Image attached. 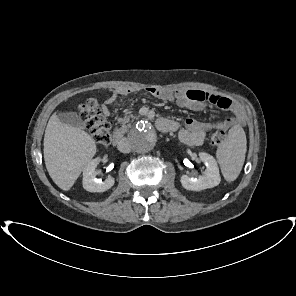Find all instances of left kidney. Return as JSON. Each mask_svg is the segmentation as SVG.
<instances>
[{
    "instance_id": "1",
    "label": "left kidney",
    "mask_w": 296,
    "mask_h": 296,
    "mask_svg": "<svg viewBox=\"0 0 296 296\" xmlns=\"http://www.w3.org/2000/svg\"><path fill=\"white\" fill-rule=\"evenodd\" d=\"M199 158L206 166L204 175H200L196 178L182 175L181 184L187 190L200 191L213 188L219 185L221 181L219 168L215 158L205 152H200Z\"/></svg>"
}]
</instances>
